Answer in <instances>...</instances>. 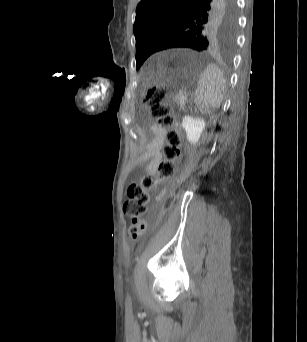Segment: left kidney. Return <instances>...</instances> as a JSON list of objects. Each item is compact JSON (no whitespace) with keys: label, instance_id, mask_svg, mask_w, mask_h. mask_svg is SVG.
Returning <instances> with one entry per match:
<instances>
[{"label":"left kidney","instance_id":"5707ae66","mask_svg":"<svg viewBox=\"0 0 307 342\" xmlns=\"http://www.w3.org/2000/svg\"><path fill=\"white\" fill-rule=\"evenodd\" d=\"M205 126V120H202V118L184 116L182 120V128H184L187 140L190 144H196V142H198Z\"/></svg>","mask_w":307,"mask_h":342}]
</instances>
